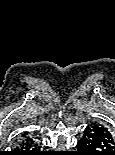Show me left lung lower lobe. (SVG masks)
I'll return each mask as SVG.
<instances>
[{
	"instance_id": "1",
	"label": "left lung lower lobe",
	"mask_w": 115,
	"mask_h": 155,
	"mask_svg": "<svg viewBox=\"0 0 115 155\" xmlns=\"http://www.w3.org/2000/svg\"><path fill=\"white\" fill-rule=\"evenodd\" d=\"M78 155H115V138L103 123H91L77 144Z\"/></svg>"
}]
</instances>
